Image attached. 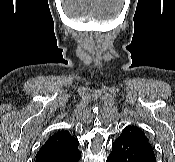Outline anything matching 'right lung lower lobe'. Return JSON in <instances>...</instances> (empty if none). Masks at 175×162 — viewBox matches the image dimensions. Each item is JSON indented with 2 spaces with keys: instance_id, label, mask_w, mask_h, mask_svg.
I'll use <instances>...</instances> for the list:
<instances>
[{
  "instance_id": "obj_1",
  "label": "right lung lower lobe",
  "mask_w": 175,
  "mask_h": 162,
  "mask_svg": "<svg viewBox=\"0 0 175 162\" xmlns=\"http://www.w3.org/2000/svg\"><path fill=\"white\" fill-rule=\"evenodd\" d=\"M80 158L81 153L77 149L72 152H58L42 155L36 158V162H79Z\"/></svg>"
}]
</instances>
